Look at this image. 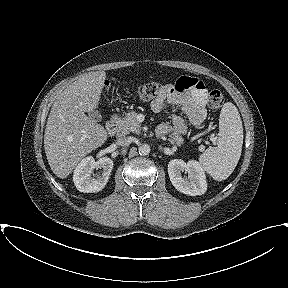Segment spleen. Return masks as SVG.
I'll return each instance as SVG.
<instances>
[{
    "label": "spleen",
    "mask_w": 288,
    "mask_h": 288,
    "mask_svg": "<svg viewBox=\"0 0 288 288\" xmlns=\"http://www.w3.org/2000/svg\"><path fill=\"white\" fill-rule=\"evenodd\" d=\"M216 147H209L199 157L202 168L215 180L227 179L234 171L242 151L243 126L235 105H223L219 119Z\"/></svg>",
    "instance_id": "obj_1"
}]
</instances>
